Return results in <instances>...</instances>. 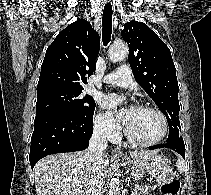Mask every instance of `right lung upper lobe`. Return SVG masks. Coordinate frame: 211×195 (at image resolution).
I'll return each instance as SVG.
<instances>
[{
	"mask_svg": "<svg viewBox=\"0 0 211 195\" xmlns=\"http://www.w3.org/2000/svg\"><path fill=\"white\" fill-rule=\"evenodd\" d=\"M99 48V34L90 22L77 19L71 23L46 51L38 92L54 88L83 89L87 76L95 70Z\"/></svg>",
	"mask_w": 211,
	"mask_h": 195,
	"instance_id": "1",
	"label": "right lung upper lobe"
}]
</instances>
